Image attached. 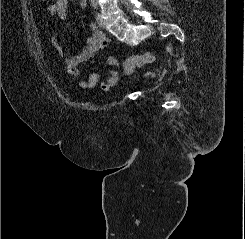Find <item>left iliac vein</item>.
Here are the masks:
<instances>
[{"label": "left iliac vein", "mask_w": 245, "mask_h": 239, "mask_svg": "<svg viewBox=\"0 0 245 239\" xmlns=\"http://www.w3.org/2000/svg\"><path fill=\"white\" fill-rule=\"evenodd\" d=\"M96 21L100 27H104L105 23L103 21L102 15L100 11H97L95 14Z\"/></svg>", "instance_id": "4c4485c4"}]
</instances>
